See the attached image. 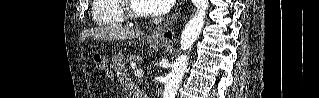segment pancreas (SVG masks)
Wrapping results in <instances>:
<instances>
[{"instance_id": "1", "label": "pancreas", "mask_w": 319, "mask_h": 98, "mask_svg": "<svg viewBox=\"0 0 319 98\" xmlns=\"http://www.w3.org/2000/svg\"><path fill=\"white\" fill-rule=\"evenodd\" d=\"M140 60H141V58L136 57L135 55H131L126 61L128 63H132V62H136V61H140Z\"/></svg>"}]
</instances>
